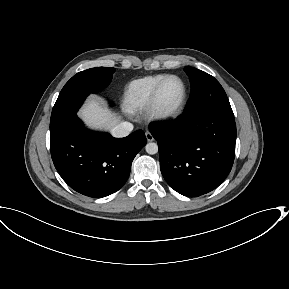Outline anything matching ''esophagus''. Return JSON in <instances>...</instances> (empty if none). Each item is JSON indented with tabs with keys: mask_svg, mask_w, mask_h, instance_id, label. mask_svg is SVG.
Returning <instances> with one entry per match:
<instances>
[{
	"mask_svg": "<svg viewBox=\"0 0 289 289\" xmlns=\"http://www.w3.org/2000/svg\"><path fill=\"white\" fill-rule=\"evenodd\" d=\"M145 136H146L147 141L149 142L154 140L153 135L149 131H146Z\"/></svg>",
	"mask_w": 289,
	"mask_h": 289,
	"instance_id": "esophagus-1",
	"label": "esophagus"
}]
</instances>
